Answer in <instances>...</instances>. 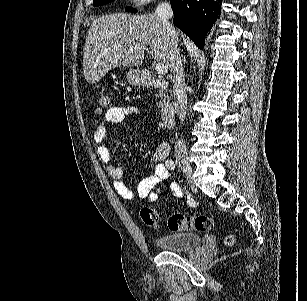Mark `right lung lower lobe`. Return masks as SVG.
Here are the masks:
<instances>
[{
	"label": "right lung lower lobe",
	"mask_w": 307,
	"mask_h": 301,
	"mask_svg": "<svg viewBox=\"0 0 307 301\" xmlns=\"http://www.w3.org/2000/svg\"><path fill=\"white\" fill-rule=\"evenodd\" d=\"M221 3L222 0H171L173 22L202 47L204 36L220 14Z\"/></svg>",
	"instance_id": "obj_1"
}]
</instances>
